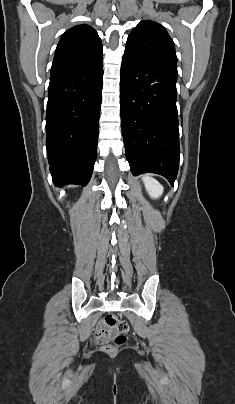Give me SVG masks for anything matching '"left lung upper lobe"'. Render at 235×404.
Returning <instances> with one entry per match:
<instances>
[{
	"label": "left lung upper lobe",
	"instance_id": "1",
	"mask_svg": "<svg viewBox=\"0 0 235 404\" xmlns=\"http://www.w3.org/2000/svg\"><path fill=\"white\" fill-rule=\"evenodd\" d=\"M125 50L177 70L174 42L165 28L154 21H141L129 34Z\"/></svg>",
	"mask_w": 235,
	"mask_h": 404
}]
</instances>
